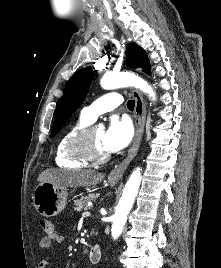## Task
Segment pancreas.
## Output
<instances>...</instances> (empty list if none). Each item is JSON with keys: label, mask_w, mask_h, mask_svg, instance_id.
Listing matches in <instances>:
<instances>
[{"label": "pancreas", "mask_w": 221, "mask_h": 268, "mask_svg": "<svg viewBox=\"0 0 221 268\" xmlns=\"http://www.w3.org/2000/svg\"><path fill=\"white\" fill-rule=\"evenodd\" d=\"M96 199V196L94 194H90L88 196H83L80 199H77L75 201V210L81 211L82 209L88 208L87 203L89 201H94Z\"/></svg>", "instance_id": "cf45deb5"}]
</instances>
